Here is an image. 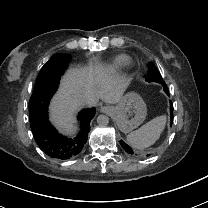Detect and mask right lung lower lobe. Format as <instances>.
I'll return each mask as SVG.
<instances>
[{"mask_svg":"<svg viewBox=\"0 0 208 208\" xmlns=\"http://www.w3.org/2000/svg\"><path fill=\"white\" fill-rule=\"evenodd\" d=\"M67 66L68 62L62 58H50L37 77L29 104L30 126L35 141L46 155L57 160H67L78 155L88 139L90 121L96 112L95 108H90L79 113L81 128L73 139L59 134L49 122V101Z\"/></svg>","mask_w":208,"mask_h":208,"instance_id":"obj_1","label":"right lung lower lobe"}]
</instances>
